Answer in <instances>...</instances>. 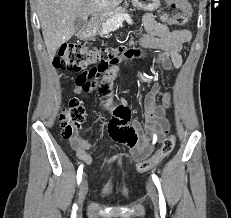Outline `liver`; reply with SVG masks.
<instances>
[{
  "mask_svg": "<svg viewBox=\"0 0 231 218\" xmlns=\"http://www.w3.org/2000/svg\"><path fill=\"white\" fill-rule=\"evenodd\" d=\"M123 0H37V13L50 60L75 33L74 20L91 14L110 16Z\"/></svg>",
  "mask_w": 231,
  "mask_h": 218,
  "instance_id": "6515ba94",
  "label": "liver"
}]
</instances>
